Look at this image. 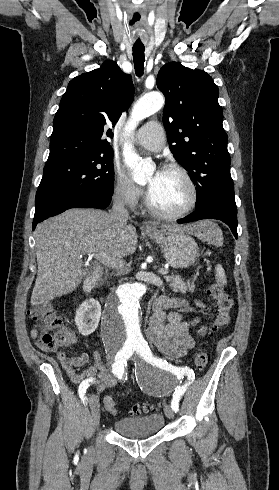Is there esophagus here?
Segmentation results:
<instances>
[{
    "mask_svg": "<svg viewBox=\"0 0 279 490\" xmlns=\"http://www.w3.org/2000/svg\"><path fill=\"white\" fill-rule=\"evenodd\" d=\"M142 227L143 228H147V229H156L157 228V225L155 223H153V222L143 221Z\"/></svg>",
    "mask_w": 279,
    "mask_h": 490,
    "instance_id": "34e87169",
    "label": "esophagus"
}]
</instances>
